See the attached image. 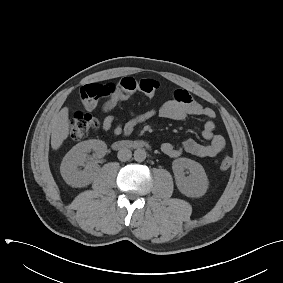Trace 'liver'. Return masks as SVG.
I'll use <instances>...</instances> for the list:
<instances>
[{
	"mask_svg": "<svg viewBox=\"0 0 283 283\" xmlns=\"http://www.w3.org/2000/svg\"><path fill=\"white\" fill-rule=\"evenodd\" d=\"M51 147L57 150L69 135V109L62 108L51 121Z\"/></svg>",
	"mask_w": 283,
	"mask_h": 283,
	"instance_id": "6515ba94",
	"label": "liver"
}]
</instances>
